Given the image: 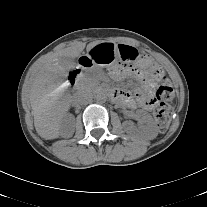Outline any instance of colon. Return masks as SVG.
<instances>
[{
    "label": "colon",
    "instance_id": "1",
    "mask_svg": "<svg viewBox=\"0 0 207 207\" xmlns=\"http://www.w3.org/2000/svg\"><path fill=\"white\" fill-rule=\"evenodd\" d=\"M149 71L152 75L157 76L161 73L162 68L159 64L154 63L150 66ZM174 96L175 90L172 83L167 78H162L156 90V100L159 104L154 111L155 120L161 132H165L170 125L172 109L166 102L171 101Z\"/></svg>",
    "mask_w": 207,
    "mask_h": 207
}]
</instances>
